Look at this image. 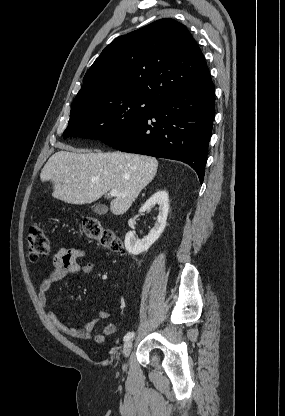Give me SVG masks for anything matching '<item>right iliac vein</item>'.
I'll use <instances>...</instances> for the list:
<instances>
[{"label": "right iliac vein", "mask_w": 285, "mask_h": 416, "mask_svg": "<svg viewBox=\"0 0 285 416\" xmlns=\"http://www.w3.org/2000/svg\"><path fill=\"white\" fill-rule=\"evenodd\" d=\"M133 347L132 341H127L123 347V355L124 357H128ZM123 369H127V364H123Z\"/></svg>", "instance_id": "right-iliac-vein-1"}]
</instances>
